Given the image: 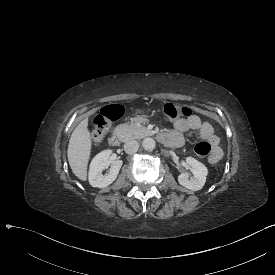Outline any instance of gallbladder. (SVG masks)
Here are the masks:
<instances>
[{"label": "gallbladder", "instance_id": "1", "mask_svg": "<svg viewBox=\"0 0 275 275\" xmlns=\"http://www.w3.org/2000/svg\"><path fill=\"white\" fill-rule=\"evenodd\" d=\"M92 115L93 117H96L98 115V112H94Z\"/></svg>", "mask_w": 275, "mask_h": 275}]
</instances>
